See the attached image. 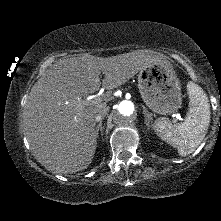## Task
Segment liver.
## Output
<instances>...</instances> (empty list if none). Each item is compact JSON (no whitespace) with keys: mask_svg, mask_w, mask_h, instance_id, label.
Instances as JSON below:
<instances>
[{"mask_svg":"<svg viewBox=\"0 0 221 221\" xmlns=\"http://www.w3.org/2000/svg\"><path fill=\"white\" fill-rule=\"evenodd\" d=\"M154 64L171 67L161 54L134 51L107 58L85 54L60 59L32 87L24 108V129L36 159L57 173L86 169L96 150L95 117L107 106L112 90ZM108 90L98 104L82 98Z\"/></svg>","mask_w":221,"mask_h":221,"instance_id":"liver-1","label":"liver"}]
</instances>
